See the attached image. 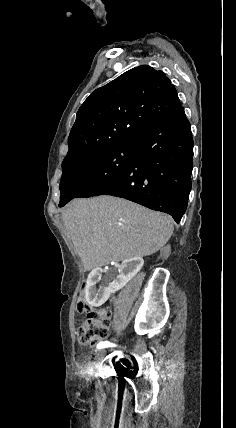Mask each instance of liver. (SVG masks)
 I'll list each match as a JSON object with an SVG mask.
<instances>
[{
    "label": "liver",
    "instance_id": "obj_1",
    "mask_svg": "<svg viewBox=\"0 0 236 428\" xmlns=\"http://www.w3.org/2000/svg\"><path fill=\"white\" fill-rule=\"evenodd\" d=\"M62 220L85 270L151 256L167 244L174 230L167 214L113 196L72 200Z\"/></svg>",
    "mask_w": 236,
    "mask_h": 428
}]
</instances>
